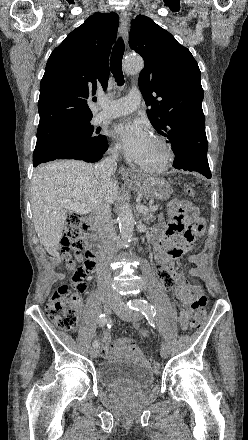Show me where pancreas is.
Returning a JSON list of instances; mask_svg holds the SVG:
<instances>
[{
	"mask_svg": "<svg viewBox=\"0 0 248 440\" xmlns=\"http://www.w3.org/2000/svg\"><path fill=\"white\" fill-rule=\"evenodd\" d=\"M142 219L149 223V222H154L156 217L158 218V220L162 221L163 219V215L159 214L157 216L154 215V210L152 208H149L148 211L146 213H142L141 214Z\"/></svg>",
	"mask_w": 248,
	"mask_h": 440,
	"instance_id": "obj_1",
	"label": "pancreas"
}]
</instances>
